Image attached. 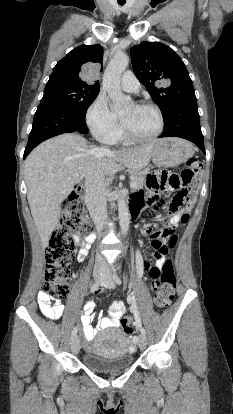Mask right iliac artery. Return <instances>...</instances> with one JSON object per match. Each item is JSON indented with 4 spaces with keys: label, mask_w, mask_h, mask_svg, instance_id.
I'll list each match as a JSON object with an SVG mask.
<instances>
[{
    "label": "right iliac artery",
    "mask_w": 233,
    "mask_h": 414,
    "mask_svg": "<svg viewBox=\"0 0 233 414\" xmlns=\"http://www.w3.org/2000/svg\"><path fill=\"white\" fill-rule=\"evenodd\" d=\"M99 286H100V282H95L92 286H91V289H90V292L91 293H94V292H96L98 289H99ZM77 327H75L73 330H72V337H74L76 334H77Z\"/></svg>",
    "instance_id": "obj_1"
}]
</instances>
